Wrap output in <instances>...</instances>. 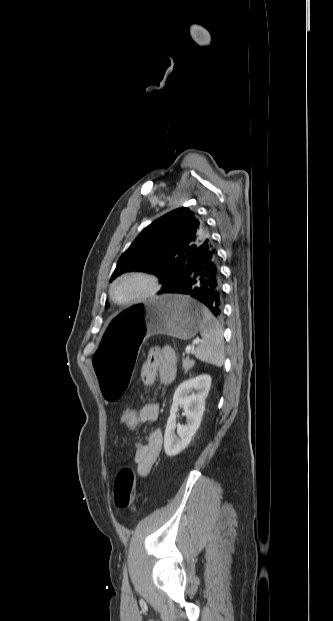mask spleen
Here are the masks:
<instances>
[{
	"label": "spleen",
	"instance_id": "1",
	"mask_svg": "<svg viewBox=\"0 0 333 621\" xmlns=\"http://www.w3.org/2000/svg\"><path fill=\"white\" fill-rule=\"evenodd\" d=\"M200 333L202 340L194 351L195 357L202 362L221 367L224 363L223 331L219 322L207 309Z\"/></svg>",
	"mask_w": 333,
	"mask_h": 621
}]
</instances>
